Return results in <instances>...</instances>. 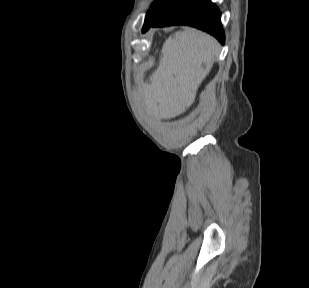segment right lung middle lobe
Returning <instances> with one entry per match:
<instances>
[{"label": "right lung middle lobe", "instance_id": "1", "mask_svg": "<svg viewBox=\"0 0 309 288\" xmlns=\"http://www.w3.org/2000/svg\"><path fill=\"white\" fill-rule=\"evenodd\" d=\"M183 0H157L147 13L143 28L152 25L166 12L177 7Z\"/></svg>", "mask_w": 309, "mask_h": 288}]
</instances>
